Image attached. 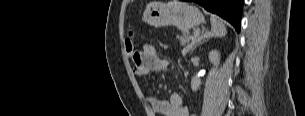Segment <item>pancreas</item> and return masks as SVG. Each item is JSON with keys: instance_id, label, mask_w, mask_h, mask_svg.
<instances>
[{"instance_id": "pancreas-1", "label": "pancreas", "mask_w": 305, "mask_h": 116, "mask_svg": "<svg viewBox=\"0 0 305 116\" xmlns=\"http://www.w3.org/2000/svg\"><path fill=\"white\" fill-rule=\"evenodd\" d=\"M192 37L193 36H189L186 34L176 37L180 41L181 45L185 46V48L182 51L183 53H187L191 49V45H187V43L189 42L190 39H192Z\"/></svg>"}]
</instances>
